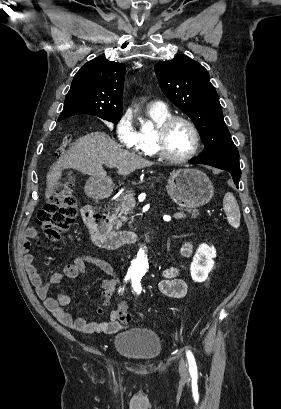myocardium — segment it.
<instances>
[{
  "label": "myocardium",
  "mask_w": 281,
  "mask_h": 409,
  "mask_svg": "<svg viewBox=\"0 0 281 409\" xmlns=\"http://www.w3.org/2000/svg\"><path fill=\"white\" fill-rule=\"evenodd\" d=\"M176 122H182L185 125H187L193 135V140H194V144L190 152L180 157L172 156L167 151L166 146H165L166 135L170 127ZM151 134H152L153 148L156 152V155L167 161L173 162V163H181V162L190 160L197 154L200 148V134H199V131L196 125L189 118L182 116V115L169 116L160 124L155 125L153 129L151 130Z\"/></svg>",
  "instance_id": "1"
}]
</instances>
